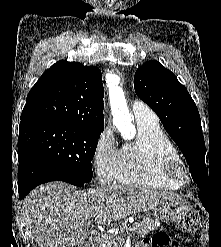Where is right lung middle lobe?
Returning a JSON list of instances; mask_svg holds the SVG:
<instances>
[{
    "label": "right lung middle lobe",
    "mask_w": 221,
    "mask_h": 247,
    "mask_svg": "<svg viewBox=\"0 0 221 247\" xmlns=\"http://www.w3.org/2000/svg\"><path fill=\"white\" fill-rule=\"evenodd\" d=\"M100 132L73 125L56 124L19 129V152H29L54 164L74 179L92 180L91 161Z\"/></svg>",
    "instance_id": "obj_1"
}]
</instances>
